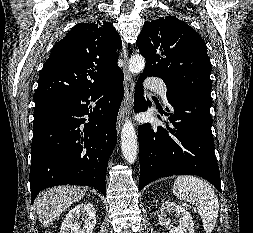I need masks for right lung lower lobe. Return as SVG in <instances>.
Listing matches in <instances>:
<instances>
[{"label": "right lung lower lobe", "instance_id": "right-lung-lower-lobe-1", "mask_svg": "<svg viewBox=\"0 0 253 233\" xmlns=\"http://www.w3.org/2000/svg\"><path fill=\"white\" fill-rule=\"evenodd\" d=\"M120 72L103 86L35 102L31 146V202L56 185H89L106 192L108 160L117 141L124 96ZM95 102V108L89 103ZM88 117L89 122L85 123Z\"/></svg>", "mask_w": 253, "mask_h": 233}]
</instances>
